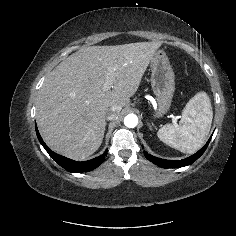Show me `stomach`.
I'll return each instance as SVG.
<instances>
[{"mask_svg": "<svg viewBox=\"0 0 236 236\" xmlns=\"http://www.w3.org/2000/svg\"><path fill=\"white\" fill-rule=\"evenodd\" d=\"M151 86L158 103L155 117H162L171 106L175 91V75L163 50L155 52L151 60Z\"/></svg>", "mask_w": 236, "mask_h": 236, "instance_id": "0dacf381", "label": "stomach"}]
</instances>
